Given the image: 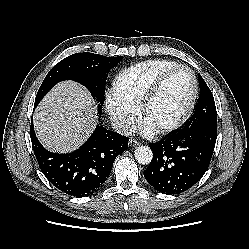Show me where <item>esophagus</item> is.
<instances>
[{
  "label": "esophagus",
  "instance_id": "esophagus-1",
  "mask_svg": "<svg viewBox=\"0 0 249 249\" xmlns=\"http://www.w3.org/2000/svg\"><path fill=\"white\" fill-rule=\"evenodd\" d=\"M129 145L131 146V147H136V146H138V145H140V142L139 141H137L136 139H130L129 140Z\"/></svg>",
  "mask_w": 249,
  "mask_h": 249
}]
</instances>
